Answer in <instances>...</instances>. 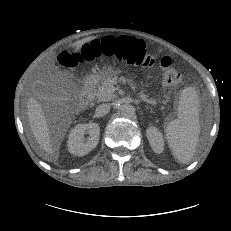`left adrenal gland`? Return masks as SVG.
Returning a JSON list of instances; mask_svg holds the SVG:
<instances>
[{"label": "left adrenal gland", "instance_id": "obj_1", "mask_svg": "<svg viewBox=\"0 0 231 231\" xmlns=\"http://www.w3.org/2000/svg\"><path fill=\"white\" fill-rule=\"evenodd\" d=\"M147 109H150V107L146 106Z\"/></svg>", "mask_w": 231, "mask_h": 231}]
</instances>
